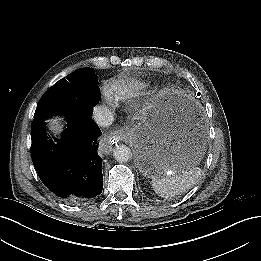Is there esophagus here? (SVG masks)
<instances>
[{"mask_svg": "<svg viewBox=\"0 0 261 261\" xmlns=\"http://www.w3.org/2000/svg\"><path fill=\"white\" fill-rule=\"evenodd\" d=\"M124 135V130H117L109 135L106 136L107 143L105 145H102V151L104 154H109L114 145L118 143L122 139V136Z\"/></svg>", "mask_w": 261, "mask_h": 261, "instance_id": "34e87169", "label": "esophagus"}]
</instances>
